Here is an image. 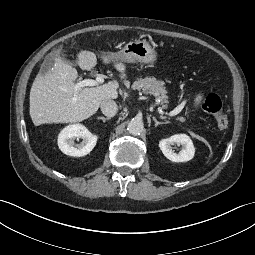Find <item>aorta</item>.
<instances>
[{
    "label": "aorta",
    "mask_w": 255,
    "mask_h": 255,
    "mask_svg": "<svg viewBox=\"0 0 255 255\" xmlns=\"http://www.w3.org/2000/svg\"><path fill=\"white\" fill-rule=\"evenodd\" d=\"M127 130L131 135H140L144 130V124L142 120L132 119L127 125Z\"/></svg>",
    "instance_id": "1"
}]
</instances>
